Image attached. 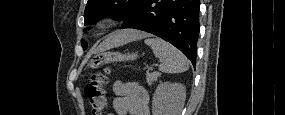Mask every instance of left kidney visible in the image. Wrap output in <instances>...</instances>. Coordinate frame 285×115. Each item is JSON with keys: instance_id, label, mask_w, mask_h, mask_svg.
Returning <instances> with one entry per match:
<instances>
[{"instance_id": "1", "label": "left kidney", "mask_w": 285, "mask_h": 115, "mask_svg": "<svg viewBox=\"0 0 285 115\" xmlns=\"http://www.w3.org/2000/svg\"><path fill=\"white\" fill-rule=\"evenodd\" d=\"M186 98V88L179 83H160L152 100L153 115H180Z\"/></svg>"}]
</instances>
